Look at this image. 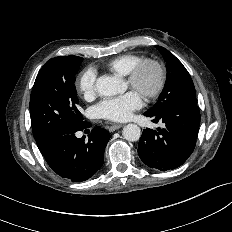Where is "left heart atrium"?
<instances>
[{"mask_svg":"<svg viewBox=\"0 0 232 232\" xmlns=\"http://www.w3.org/2000/svg\"><path fill=\"white\" fill-rule=\"evenodd\" d=\"M143 106L141 95L130 91L124 95L109 98L100 102L95 110L99 117L114 122L128 120L132 113Z\"/></svg>","mask_w":232,"mask_h":232,"instance_id":"1","label":"left heart atrium"}]
</instances>
